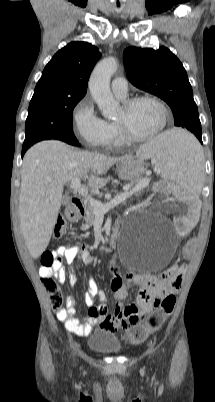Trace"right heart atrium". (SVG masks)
<instances>
[{"label": "right heart atrium", "mask_w": 215, "mask_h": 402, "mask_svg": "<svg viewBox=\"0 0 215 402\" xmlns=\"http://www.w3.org/2000/svg\"><path fill=\"white\" fill-rule=\"evenodd\" d=\"M74 132L87 146L104 147L111 137L109 124L98 116L90 98H83L73 111Z\"/></svg>", "instance_id": "right-heart-atrium-1"}]
</instances>
